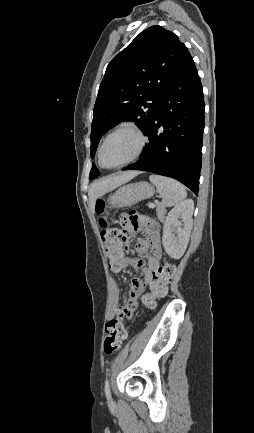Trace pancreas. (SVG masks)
Segmentation results:
<instances>
[{"label": "pancreas", "instance_id": "obj_1", "mask_svg": "<svg viewBox=\"0 0 254 433\" xmlns=\"http://www.w3.org/2000/svg\"><path fill=\"white\" fill-rule=\"evenodd\" d=\"M156 213H157L158 218L160 220H163L165 213H166V210L164 209V207L161 204H157L156 205Z\"/></svg>", "mask_w": 254, "mask_h": 433}]
</instances>
